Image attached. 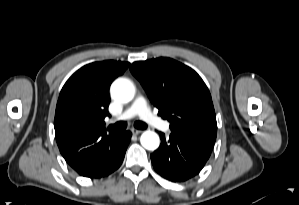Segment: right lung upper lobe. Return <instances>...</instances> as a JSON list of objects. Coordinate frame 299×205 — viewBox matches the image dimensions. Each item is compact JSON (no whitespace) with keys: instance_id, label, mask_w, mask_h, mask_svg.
Returning a JSON list of instances; mask_svg holds the SVG:
<instances>
[{"instance_id":"1","label":"right lung upper lobe","mask_w":299,"mask_h":205,"mask_svg":"<svg viewBox=\"0 0 299 205\" xmlns=\"http://www.w3.org/2000/svg\"><path fill=\"white\" fill-rule=\"evenodd\" d=\"M130 63L103 61L76 71L63 86L55 112V134L59 150L76 171L95 153L113 143L119 134H107L109 87Z\"/></svg>"}]
</instances>
